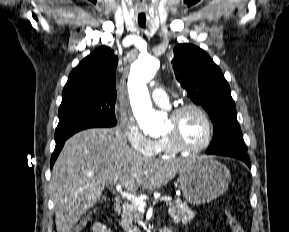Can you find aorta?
I'll return each instance as SVG.
<instances>
[{"instance_id":"aorta-1","label":"aorta","mask_w":289,"mask_h":232,"mask_svg":"<svg viewBox=\"0 0 289 232\" xmlns=\"http://www.w3.org/2000/svg\"><path fill=\"white\" fill-rule=\"evenodd\" d=\"M159 68V61L152 56H140L132 65L129 77V92L134 115L145 134L159 135L164 126L161 113L152 108L146 83Z\"/></svg>"}]
</instances>
